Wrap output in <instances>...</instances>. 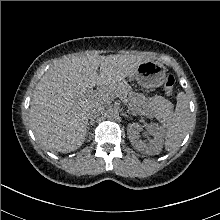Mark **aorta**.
I'll list each match as a JSON object with an SVG mask.
<instances>
[{"instance_id": "762f6f07", "label": "aorta", "mask_w": 220, "mask_h": 220, "mask_svg": "<svg viewBox=\"0 0 220 220\" xmlns=\"http://www.w3.org/2000/svg\"><path fill=\"white\" fill-rule=\"evenodd\" d=\"M108 114L111 119L119 117V111L117 109H110Z\"/></svg>"}]
</instances>
